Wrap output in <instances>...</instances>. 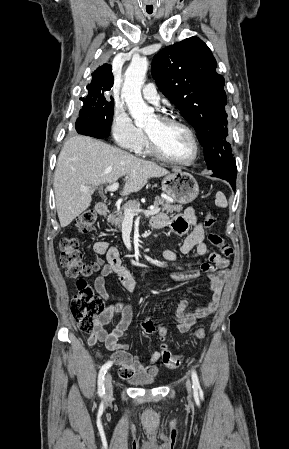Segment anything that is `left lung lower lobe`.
<instances>
[{
  "label": "left lung lower lobe",
  "instance_id": "obj_1",
  "mask_svg": "<svg viewBox=\"0 0 289 449\" xmlns=\"http://www.w3.org/2000/svg\"><path fill=\"white\" fill-rule=\"evenodd\" d=\"M215 177V176H214ZM218 178H220V177H218ZM221 179H224V180H226L227 182H229L230 183V185L232 186V188H233V190H235L236 189V177L235 178H221Z\"/></svg>",
  "mask_w": 289,
  "mask_h": 449
}]
</instances>
